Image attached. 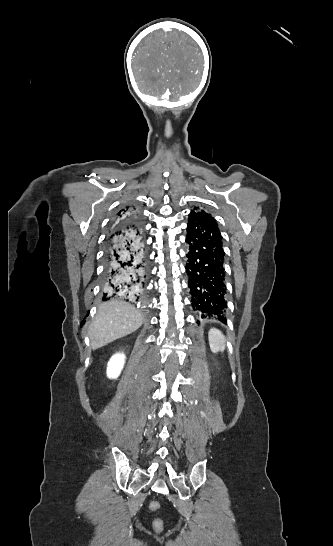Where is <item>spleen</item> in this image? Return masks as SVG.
I'll list each match as a JSON object with an SVG mask.
<instances>
[{
  "mask_svg": "<svg viewBox=\"0 0 333 546\" xmlns=\"http://www.w3.org/2000/svg\"><path fill=\"white\" fill-rule=\"evenodd\" d=\"M208 338H209L210 349L212 352L218 353L219 351L223 352L225 350L226 339L220 330L216 328L210 329L208 332Z\"/></svg>",
  "mask_w": 333,
  "mask_h": 546,
  "instance_id": "1",
  "label": "spleen"
}]
</instances>
